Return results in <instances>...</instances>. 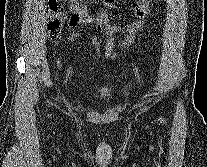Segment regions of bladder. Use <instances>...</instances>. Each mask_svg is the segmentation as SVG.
<instances>
[{"label":"bladder","mask_w":207,"mask_h":167,"mask_svg":"<svg viewBox=\"0 0 207 167\" xmlns=\"http://www.w3.org/2000/svg\"><path fill=\"white\" fill-rule=\"evenodd\" d=\"M110 95L109 91L107 89H101L96 95L95 98L97 99H103Z\"/></svg>","instance_id":"31cf9c89"}]
</instances>
